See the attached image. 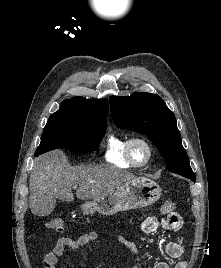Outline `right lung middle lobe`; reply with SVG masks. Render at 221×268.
Instances as JSON below:
<instances>
[{"label": "right lung middle lobe", "mask_w": 221, "mask_h": 268, "mask_svg": "<svg viewBox=\"0 0 221 268\" xmlns=\"http://www.w3.org/2000/svg\"><path fill=\"white\" fill-rule=\"evenodd\" d=\"M105 129L106 124L54 113L43 129L41 143L35 155L38 156L55 148H65L82 154L96 151Z\"/></svg>", "instance_id": "right-lung-middle-lobe-1"}]
</instances>
